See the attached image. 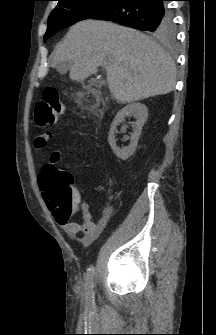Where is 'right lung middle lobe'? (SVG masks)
Instances as JSON below:
<instances>
[{"instance_id": "obj_1", "label": "right lung middle lobe", "mask_w": 216, "mask_h": 335, "mask_svg": "<svg viewBox=\"0 0 216 335\" xmlns=\"http://www.w3.org/2000/svg\"><path fill=\"white\" fill-rule=\"evenodd\" d=\"M58 5L51 12L48 19V29L44 42L56 32L71 26L78 21L92 19L105 10L116 0H57ZM172 17V16H171ZM173 23V22H172ZM163 40L175 37L174 25L168 26L163 32L154 35Z\"/></svg>"}]
</instances>
